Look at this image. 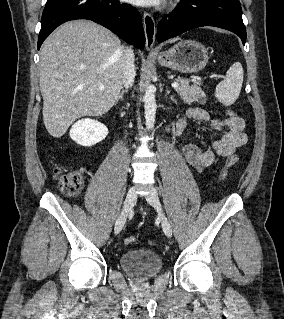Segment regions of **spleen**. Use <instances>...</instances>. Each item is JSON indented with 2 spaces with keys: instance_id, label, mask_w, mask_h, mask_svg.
<instances>
[{
  "instance_id": "spleen-1",
  "label": "spleen",
  "mask_w": 284,
  "mask_h": 319,
  "mask_svg": "<svg viewBox=\"0 0 284 319\" xmlns=\"http://www.w3.org/2000/svg\"><path fill=\"white\" fill-rule=\"evenodd\" d=\"M243 83V68L241 63L235 62L226 72L215 90V96L223 105H232L239 97Z\"/></svg>"
}]
</instances>
